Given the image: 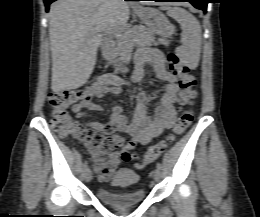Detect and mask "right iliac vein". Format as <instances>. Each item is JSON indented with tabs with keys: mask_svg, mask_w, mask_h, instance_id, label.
I'll return each instance as SVG.
<instances>
[{
	"mask_svg": "<svg viewBox=\"0 0 260 217\" xmlns=\"http://www.w3.org/2000/svg\"><path fill=\"white\" fill-rule=\"evenodd\" d=\"M84 174H85V180L87 182H90L91 179H92V172H91V170L89 168H86Z\"/></svg>",
	"mask_w": 260,
	"mask_h": 217,
	"instance_id": "1",
	"label": "right iliac vein"
}]
</instances>
